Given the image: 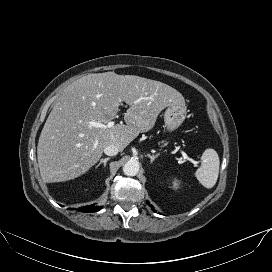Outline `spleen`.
<instances>
[{
  "label": "spleen",
  "mask_w": 272,
  "mask_h": 272,
  "mask_svg": "<svg viewBox=\"0 0 272 272\" xmlns=\"http://www.w3.org/2000/svg\"><path fill=\"white\" fill-rule=\"evenodd\" d=\"M202 165L195 172V176L198 181L205 188H212L218 179L219 174V157L217 152L214 149H206L201 157Z\"/></svg>",
  "instance_id": "3e777b00"
}]
</instances>
